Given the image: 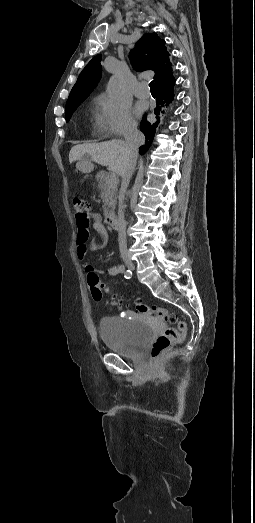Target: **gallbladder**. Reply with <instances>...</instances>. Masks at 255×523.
Returning <instances> with one entry per match:
<instances>
[{
  "instance_id": "obj_1",
  "label": "gallbladder",
  "mask_w": 255,
  "mask_h": 523,
  "mask_svg": "<svg viewBox=\"0 0 255 523\" xmlns=\"http://www.w3.org/2000/svg\"><path fill=\"white\" fill-rule=\"evenodd\" d=\"M84 158H86V156H84ZM87 162H89V160H87Z\"/></svg>"
}]
</instances>
